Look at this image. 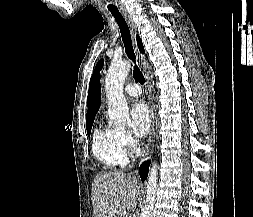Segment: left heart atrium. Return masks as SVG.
<instances>
[{"label":"left heart atrium","mask_w":253,"mask_h":217,"mask_svg":"<svg viewBox=\"0 0 253 217\" xmlns=\"http://www.w3.org/2000/svg\"><path fill=\"white\" fill-rule=\"evenodd\" d=\"M151 125L149 111L142 102H136L130 110V127L133 133L142 138L147 135Z\"/></svg>","instance_id":"1"}]
</instances>
